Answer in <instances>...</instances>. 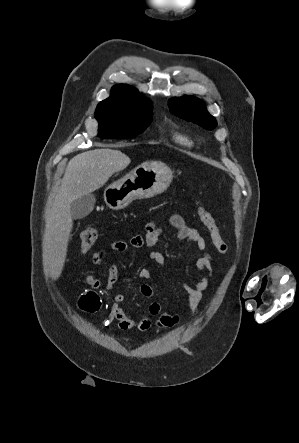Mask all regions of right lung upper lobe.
I'll use <instances>...</instances> for the list:
<instances>
[{
	"instance_id": "cb5924a9",
	"label": "right lung upper lobe",
	"mask_w": 299,
	"mask_h": 443,
	"mask_svg": "<svg viewBox=\"0 0 299 443\" xmlns=\"http://www.w3.org/2000/svg\"><path fill=\"white\" fill-rule=\"evenodd\" d=\"M101 102H116L136 107H151V102L129 85H115L110 97Z\"/></svg>"
}]
</instances>
